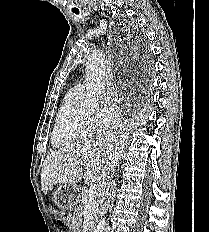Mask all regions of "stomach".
<instances>
[{"label": "stomach", "mask_w": 209, "mask_h": 232, "mask_svg": "<svg viewBox=\"0 0 209 232\" xmlns=\"http://www.w3.org/2000/svg\"><path fill=\"white\" fill-rule=\"evenodd\" d=\"M83 190V186H60L56 188V198H53V203H57L60 211H69V208L78 205Z\"/></svg>", "instance_id": "0dacf381"}]
</instances>
